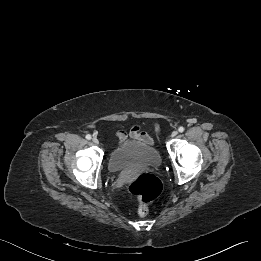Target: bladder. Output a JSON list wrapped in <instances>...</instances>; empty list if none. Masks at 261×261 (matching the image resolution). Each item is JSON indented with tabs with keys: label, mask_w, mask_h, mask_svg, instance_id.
Wrapping results in <instances>:
<instances>
[{
	"label": "bladder",
	"mask_w": 261,
	"mask_h": 261,
	"mask_svg": "<svg viewBox=\"0 0 261 261\" xmlns=\"http://www.w3.org/2000/svg\"><path fill=\"white\" fill-rule=\"evenodd\" d=\"M160 162V154L154 146L140 140H127L110 153L108 168L111 172L129 168H155Z\"/></svg>",
	"instance_id": "1"
}]
</instances>
